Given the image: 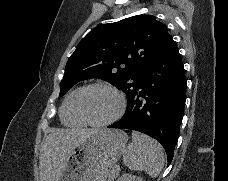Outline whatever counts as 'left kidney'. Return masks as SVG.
I'll list each match as a JSON object with an SVG mask.
<instances>
[{"label":"left kidney","instance_id":"1","mask_svg":"<svg viewBox=\"0 0 228 181\" xmlns=\"http://www.w3.org/2000/svg\"><path fill=\"white\" fill-rule=\"evenodd\" d=\"M118 181H143L141 177H135V175H122Z\"/></svg>","mask_w":228,"mask_h":181}]
</instances>
